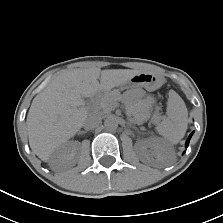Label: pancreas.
<instances>
[{
  "label": "pancreas",
  "instance_id": "cf45deb5",
  "mask_svg": "<svg viewBox=\"0 0 223 223\" xmlns=\"http://www.w3.org/2000/svg\"><path fill=\"white\" fill-rule=\"evenodd\" d=\"M120 98L121 95L118 90L106 92L95 101V109L99 112L109 113L116 108Z\"/></svg>",
  "mask_w": 223,
  "mask_h": 223
}]
</instances>
